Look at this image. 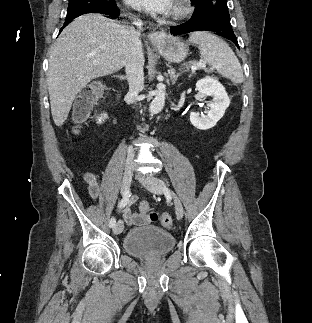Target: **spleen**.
Masks as SVG:
<instances>
[{"label":"spleen","mask_w":312,"mask_h":323,"mask_svg":"<svg viewBox=\"0 0 312 323\" xmlns=\"http://www.w3.org/2000/svg\"><path fill=\"white\" fill-rule=\"evenodd\" d=\"M191 44H197L200 58L205 64L215 68L218 74L229 78L233 84H242L243 72L233 50L227 42L212 34V32H192L188 38Z\"/></svg>","instance_id":"spleen-1"}]
</instances>
